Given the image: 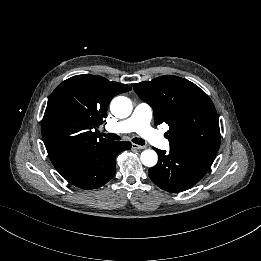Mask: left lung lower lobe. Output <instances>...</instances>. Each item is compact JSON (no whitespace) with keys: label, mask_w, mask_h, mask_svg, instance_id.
I'll return each instance as SVG.
<instances>
[{"label":"left lung lower lobe","mask_w":261,"mask_h":261,"mask_svg":"<svg viewBox=\"0 0 261 261\" xmlns=\"http://www.w3.org/2000/svg\"><path fill=\"white\" fill-rule=\"evenodd\" d=\"M159 160L149 169L150 179L168 192H182L200 181L209 170L214 158L198 152L155 149Z\"/></svg>","instance_id":"1"}]
</instances>
